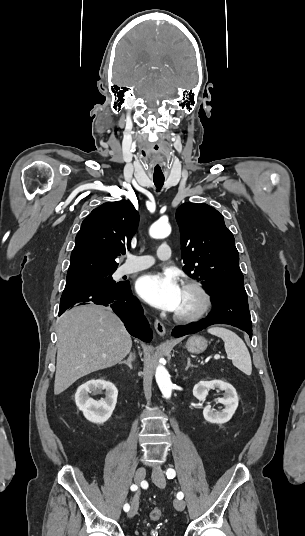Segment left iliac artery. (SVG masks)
Masks as SVG:
<instances>
[{
	"label": "left iliac artery",
	"instance_id": "1",
	"mask_svg": "<svg viewBox=\"0 0 305 536\" xmlns=\"http://www.w3.org/2000/svg\"><path fill=\"white\" fill-rule=\"evenodd\" d=\"M175 475H176V473H175V471L173 469H168L166 471V476H167L168 479H173L175 477ZM183 497H184V495H183L182 492H179L177 494L178 499H183Z\"/></svg>",
	"mask_w": 305,
	"mask_h": 536
}]
</instances>
